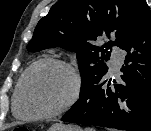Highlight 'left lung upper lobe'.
Listing matches in <instances>:
<instances>
[{
    "instance_id": "left-lung-upper-lobe-1",
    "label": "left lung upper lobe",
    "mask_w": 151,
    "mask_h": 131,
    "mask_svg": "<svg viewBox=\"0 0 151 131\" xmlns=\"http://www.w3.org/2000/svg\"><path fill=\"white\" fill-rule=\"evenodd\" d=\"M145 0H61L37 24L27 45L30 52L62 47L76 52L82 84L80 95L108 72L111 46L128 40ZM112 39L101 45L100 40Z\"/></svg>"
}]
</instances>
